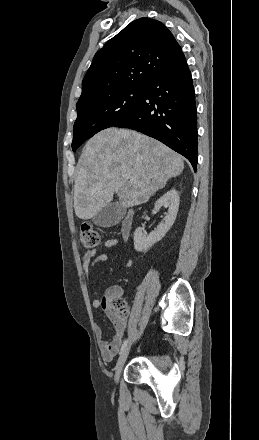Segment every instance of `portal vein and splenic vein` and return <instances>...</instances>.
<instances>
[{
	"instance_id": "1",
	"label": "portal vein and splenic vein",
	"mask_w": 259,
	"mask_h": 440,
	"mask_svg": "<svg viewBox=\"0 0 259 440\" xmlns=\"http://www.w3.org/2000/svg\"><path fill=\"white\" fill-rule=\"evenodd\" d=\"M125 178L133 179L132 177H130V176H128V175H126Z\"/></svg>"
}]
</instances>
